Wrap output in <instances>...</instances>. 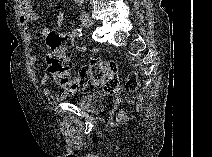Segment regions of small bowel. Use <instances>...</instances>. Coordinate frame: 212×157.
<instances>
[{"instance_id": "1", "label": "small bowel", "mask_w": 212, "mask_h": 157, "mask_svg": "<svg viewBox=\"0 0 212 157\" xmlns=\"http://www.w3.org/2000/svg\"><path fill=\"white\" fill-rule=\"evenodd\" d=\"M39 19V13L34 9L32 2L30 1H22L19 4V23L24 29V36L25 39L28 42H31L32 40V33L30 30V24L34 21H37ZM65 15L63 11H59L56 15V24L58 26H62L64 23ZM49 27H43L42 28V35L46 37L50 33ZM76 50L80 53H86L89 51L88 47L85 45H77ZM38 60V57L36 55H32L30 57V61L32 63H35ZM97 59H91L89 64ZM88 64V65H89ZM87 65V66H88ZM86 67V66H85ZM84 67V68H85ZM48 75L43 74L39 79V84L41 87H43V94L51 104H56L62 99H64V96L56 94L53 92L50 88H48L47 82H48Z\"/></svg>"}]
</instances>
